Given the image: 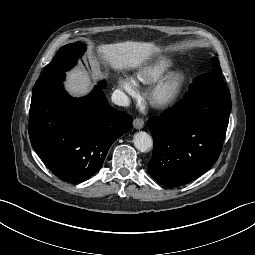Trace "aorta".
Listing matches in <instances>:
<instances>
[{
	"label": "aorta",
	"mask_w": 255,
	"mask_h": 255,
	"mask_svg": "<svg viewBox=\"0 0 255 255\" xmlns=\"http://www.w3.org/2000/svg\"><path fill=\"white\" fill-rule=\"evenodd\" d=\"M133 143L134 146L141 152L149 151L153 145L151 136L144 131L137 132L134 135Z\"/></svg>",
	"instance_id": "762f6f07"
}]
</instances>
